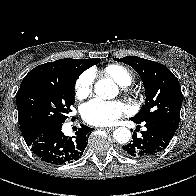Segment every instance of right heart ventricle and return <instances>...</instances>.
<instances>
[{"label": "right heart ventricle", "mask_w": 196, "mask_h": 196, "mask_svg": "<svg viewBox=\"0 0 196 196\" xmlns=\"http://www.w3.org/2000/svg\"><path fill=\"white\" fill-rule=\"evenodd\" d=\"M104 72L121 86H128L133 82L132 72L122 65H108Z\"/></svg>", "instance_id": "obj_1"}]
</instances>
